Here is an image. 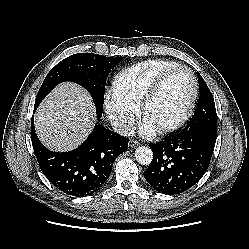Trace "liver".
Instances as JSON below:
<instances>
[{"label": "liver", "mask_w": 249, "mask_h": 249, "mask_svg": "<svg viewBox=\"0 0 249 249\" xmlns=\"http://www.w3.org/2000/svg\"><path fill=\"white\" fill-rule=\"evenodd\" d=\"M95 107L90 95L75 83L59 84L35 113V128L49 149L76 148L92 131Z\"/></svg>", "instance_id": "obj_1"}]
</instances>
